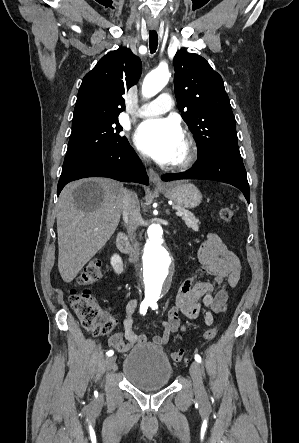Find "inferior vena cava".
I'll list each match as a JSON object with an SVG mask.
<instances>
[{"label":"inferior vena cava","instance_id":"inferior-vena-cava-1","mask_svg":"<svg viewBox=\"0 0 299 443\" xmlns=\"http://www.w3.org/2000/svg\"><path fill=\"white\" fill-rule=\"evenodd\" d=\"M122 214L123 220L126 222L129 230L130 239L134 246V253L139 259L140 244L136 240V230L141 223L140 205L137 194L135 192L124 189L122 197ZM138 270L139 264L135 265Z\"/></svg>","mask_w":299,"mask_h":443}]
</instances>
